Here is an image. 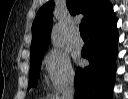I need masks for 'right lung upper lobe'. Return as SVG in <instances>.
I'll return each mask as SVG.
<instances>
[{
    "label": "right lung upper lobe",
    "instance_id": "right-lung-upper-lobe-1",
    "mask_svg": "<svg viewBox=\"0 0 128 99\" xmlns=\"http://www.w3.org/2000/svg\"><path fill=\"white\" fill-rule=\"evenodd\" d=\"M71 15L82 13V20L88 27L107 8L111 6L109 0H66ZM54 2L43 5L32 24V42L30 58L44 54L50 43Z\"/></svg>",
    "mask_w": 128,
    "mask_h": 99
}]
</instances>
